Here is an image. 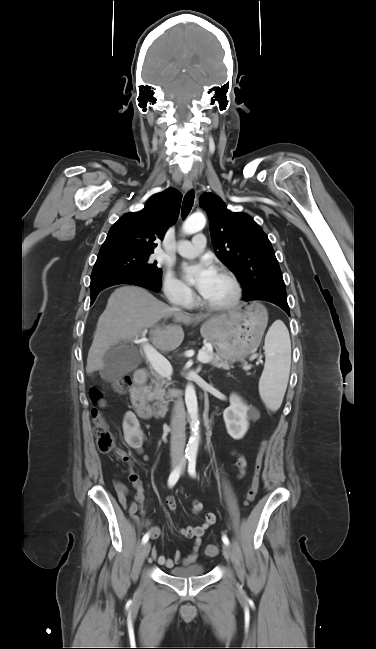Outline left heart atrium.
<instances>
[{
  "label": "left heart atrium",
  "mask_w": 376,
  "mask_h": 649,
  "mask_svg": "<svg viewBox=\"0 0 376 649\" xmlns=\"http://www.w3.org/2000/svg\"><path fill=\"white\" fill-rule=\"evenodd\" d=\"M182 272L183 276L192 281L202 295L206 292L216 275L214 267L207 259L184 263L182 265Z\"/></svg>",
  "instance_id": "39dd6f15"
}]
</instances>
